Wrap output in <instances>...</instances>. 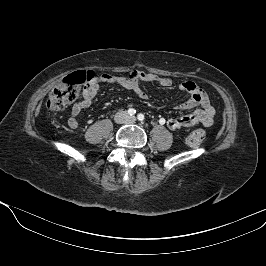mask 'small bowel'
Returning <instances> with one entry per match:
<instances>
[{"instance_id": "1", "label": "small bowel", "mask_w": 266, "mask_h": 266, "mask_svg": "<svg viewBox=\"0 0 266 266\" xmlns=\"http://www.w3.org/2000/svg\"><path fill=\"white\" fill-rule=\"evenodd\" d=\"M112 83L122 86L126 89L133 90L140 99H146L147 94L141 88L142 82L155 83L163 88H169L172 85L170 78L161 76L155 73L144 71H134L129 76H115L110 74H101L89 84L83 91L82 100L75 103L70 111L68 118V125L77 129L79 122L77 116L82 110L91 106L94 98L99 92L100 83ZM180 89L190 94V98L184 103L180 104L177 109L190 110L194 109L192 113L170 118L167 121V126L171 130H177L182 127H192L196 125L211 126L215 115V109L211 105L208 95L200 87L192 81L183 82Z\"/></svg>"}]
</instances>
